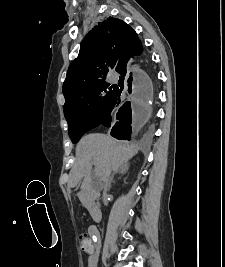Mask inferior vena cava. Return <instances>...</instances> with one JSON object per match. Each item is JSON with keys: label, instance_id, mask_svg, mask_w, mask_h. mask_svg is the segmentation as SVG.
I'll list each match as a JSON object with an SVG mask.
<instances>
[{"label": "inferior vena cava", "instance_id": "1", "mask_svg": "<svg viewBox=\"0 0 225 267\" xmlns=\"http://www.w3.org/2000/svg\"><path fill=\"white\" fill-rule=\"evenodd\" d=\"M109 176H110V175H108V176L105 178V180H104V182H105V185H104V194L106 193V191H107V189H108Z\"/></svg>", "mask_w": 225, "mask_h": 267}]
</instances>
